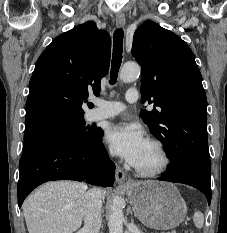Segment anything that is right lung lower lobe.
Here are the masks:
<instances>
[{
	"mask_svg": "<svg viewBox=\"0 0 227 233\" xmlns=\"http://www.w3.org/2000/svg\"><path fill=\"white\" fill-rule=\"evenodd\" d=\"M103 131L81 143L56 142L23 152L19 163L18 205L40 184L51 180H76L113 186L115 165L101 141Z\"/></svg>",
	"mask_w": 227,
	"mask_h": 233,
	"instance_id": "right-lung-lower-lobe-1",
	"label": "right lung lower lobe"
}]
</instances>
